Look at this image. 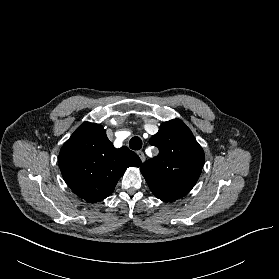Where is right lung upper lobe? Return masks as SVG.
I'll return each mask as SVG.
<instances>
[{"instance_id":"obj_1","label":"right lung upper lobe","mask_w":279,"mask_h":279,"mask_svg":"<svg viewBox=\"0 0 279 279\" xmlns=\"http://www.w3.org/2000/svg\"><path fill=\"white\" fill-rule=\"evenodd\" d=\"M142 164L126 146L114 148L106 130L84 122L63 145L59 166L67 185L89 203L104 200L114 190L128 167Z\"/></svg>"}]
</instances>
